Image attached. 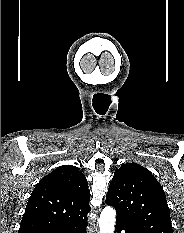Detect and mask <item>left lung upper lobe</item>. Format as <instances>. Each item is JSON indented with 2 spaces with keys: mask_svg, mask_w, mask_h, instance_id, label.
<instances>
[{
  "mask_svg": "<svg viewBox=\"0 0 184 233\" xmlns=\"http://www.w3.org/2000/svg\"><path fill=\"white\" fill-rule=\"evenodd\" d=\"M106 204L137 233H172L164 190L152 173L137 163L116 169Z\"/></svg>",
  "mask_w": 184,
  "mask_h": 233,
  "instance_id": "obj_1",
  "label": "left lung upper lobe"
}]
</instances>
